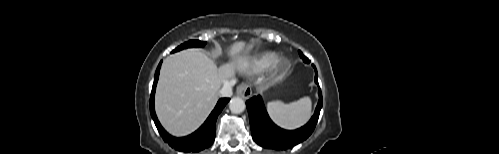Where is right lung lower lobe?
<instances>
[{"mask_svg":"<svg viewBox=\"0 0 499 154\" xmlns=\"http://www.w3.org/2000/svg\"><path fill=\"white\" fill-rule=\"evenodd\" d=\"M161 63L162 61L158 65L157 70L155 72L154 83L150 98V113L160 135L162 136L165 142H167L172 148H175L178 151L199 152L205 148H208L209 146H211V144L214 142L215 139V126H216L217 117L230 99L221 98L218 101L217 105L215 106L214 110L207 118V120L204 122V124L193 134L182 138H176L171 136L161 126L160 122L157 119L154 109V95H155L156 84L159 78Z\"/></svg>","mask_w":499,"mask_h":154,"instance_id":"obj_1","label":"right lung lower lobe"}]
</instances>
